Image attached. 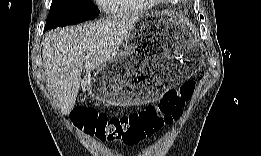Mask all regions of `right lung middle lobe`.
Segmentation results:
<instances>
[{
	"label": "right lung middle lobe",
	"instance_id": "1",
	"mask_svg": "<svg viewBox=\"0 0 261 156\" xmlns=\"http://www.w3.org/2000/svg\"><path fill=\"white\" fill-rule=\"evenodd\" d=\"M99 13L90 0H54L45 30L90 20Z\"/></svg>",
	"mask_w": 261,
	"mask_h": 156
}]
</instances>
